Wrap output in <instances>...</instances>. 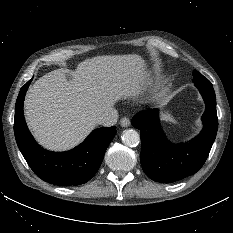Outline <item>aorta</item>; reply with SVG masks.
I'll return each instance as SVG.
<instances>
[{"instance_id": "obj_1", "label": "aorta", "mask_w": 233, "mask_h": 233, "mask_svg": "<svg viewBox=\"0 0 233 233\" xmlns=\"http://www.w3.org/2000/svg\"><path fill=\"white\" fill-rule=\"evenodd\" d=\"M122 142L129 147H135L140 142V135L136 130L127 129L124 130L122 136Z\"/></svg>"}]
</instances>
